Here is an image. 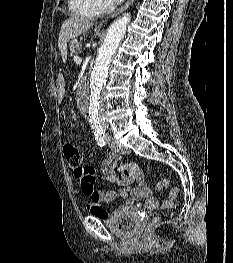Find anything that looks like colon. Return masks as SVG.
<instances>
[{"label": "colon", "mask_w": 233, "mask_h": 263, "mask_svg": "<svg viewBox=\"0 0 233 263\" xmlns=\"http://www.w3.org/2000/svg\"><path fill=\"white\" fill-rule=\"evenodd\" d=\"M63 152L69 166L74 170V173L76 175L87 174L90 172L88 168L82 166L83 153L77 146L68 143L64 145ZM168 184H169L168 180L162 179L161 181L158 182L157 188L160 190L166 189L168 187ZM178 193H179L178 187H174L170 191L168 198L164 201L163 206L168 209L172 208L174 205V200L177 197ZM157 221L158 218H155L148 225V227L152 226Z\"/></svg>", "instance_id": "obj_1"}]
</instances>
